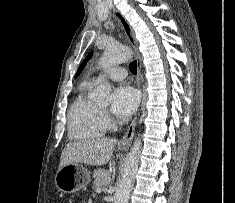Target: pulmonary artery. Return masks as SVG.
Instances as JSON below:
<instances>
[{
	"mask_svg": "<svg viewBox=\"0 0 235 203\" xmlns=\"http://www.w3.org/2000/svg\"><path fill=\"white\" fill-rule=\"evenodd\" d=\"M126 75H127V71L121 67L111 68V69L107 70L105 73V77H107L111 80H115V81L123 80L126 77ZM99 80H100L99 77H94L92 79V82L97 83Z\"/></svg>",
	"mask_w": 235,
	"mask_h": 203,
	"instance_id": "pulmonary-artery-1",
	"label": "pulmonary artery"
}]
</instances>
